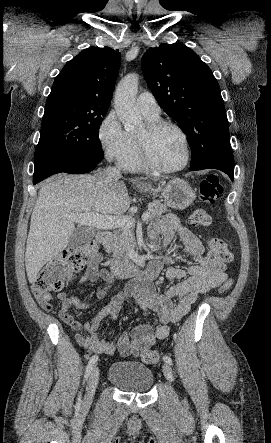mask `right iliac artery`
<instances>
[{
    "label": "right iliac artery",
    "instance_id": "1",
    "mask_svg": "<svg viewBox=\"0 0 271 443\" xmlns=\"http://www.w3.org/2000/svg\"><path fill=\"white\" fill-rule=\"evenodd\" d=\"M97 360H98V356L97 355H93L90 358V360L88 362V365L86 367V372H85V376H84V382L89 377L91 371L93 370L94 366L96 365ZM80 404H81V393L78 396V402H77L78 406H80Z\"/></svg>",
    "mask_w": 271,
    "mask_h": 443
}]
</instances>
